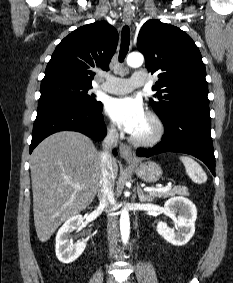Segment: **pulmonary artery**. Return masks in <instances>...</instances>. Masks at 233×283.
<instances>
[{"label": "pulmonary artery", "instance_id": "pulmonary-artery-1", "mask_svg": "<svg viewBox=\"0 0 233 283\" xmlns=\"http://www.w3.org/2000/svg\"><path fill=\"white\" fill-rule=\"evenodd\" d=\"M106 82L101 89L111 94H127L133 89L144 86L147 82L142 72H135L130 78H119L105 75Z\"/></svg>", "mask_w": 233, "mask_h": 283}]
</instances>
